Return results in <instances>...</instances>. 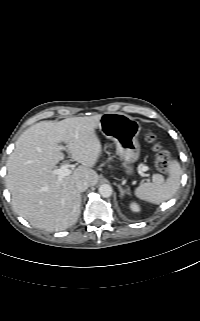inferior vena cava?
<instances>
[{"mask_svg":"<svg viewBox=\"0 0 200 321\" xmlns=\"http://www.w3.org/2000/svg\"><path fill=\"white\" fill-rule=\"evenodd\" d=\"M89 186V182L85 179L78 180L76 183V188L79 192L87 190Z\"/></svg>","mask_w":200,"mask_h":321,"instance_id":"obj_1","label":"inferior vena cava"}]
</instances>
